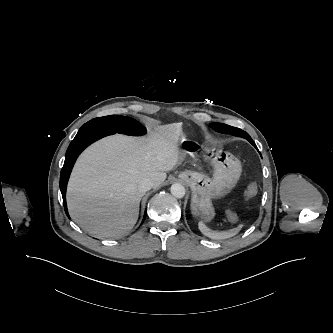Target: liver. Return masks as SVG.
<instances>
[{
    "instance_id": "liver-1",
    "label": "liver",
    "mask_w": 333,
    "mask_h": 333,
    "mask_svg": "<svg viewBox=\"0 0 333 333\" xmlns=\"http://www.w3.org/2000/svg\"><path fill=\"white\" fill-rule=\"evenodd\" d=\"M182 123L159 126L145 137L116 134L89 146L78 158L67 187L75 223L98 237H121L135 225L149 178L159 186L180 160Z\"/></svg>"
}]
</instances>
